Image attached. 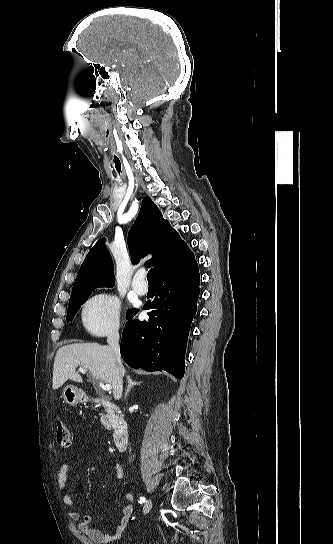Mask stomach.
<instances>
[{
  "label": "stomach",
  "instance_id": "stomach-1",
  "mask_svg": "<svg viewBox=\"0 0 333 544\" xmlns=\"http://www.w3.org/2000/svg\"><path fill=\"white\" fill-rule=\"evenodd\" d=\"M63 399L68 405L75 406L85 401L86 396L77 387L68 385L63 389Z\"/></svg>",
  "mask_w": 333,
  "mask_h": 544
}]
</instances>
